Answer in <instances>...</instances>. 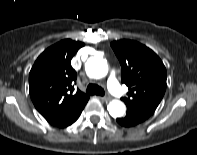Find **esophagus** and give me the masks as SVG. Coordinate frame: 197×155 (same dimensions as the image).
Segmentation results:
<instances>
[{
  "label": "esophagus",
  "instance_id": "obj_1",
  "mask_svg": "<svg viewBox=\"0 0 197 155\" xmlns=\"http://www.w3.org/2000/svg\"><path fill=\"white\" fill-rule=\"evenodd\" d=\"M100 99L104 102H108L110 100V97H100Z\"/></svg>",
  "mask_w": 197,
  "mask_h": 155
}]
</instances>
